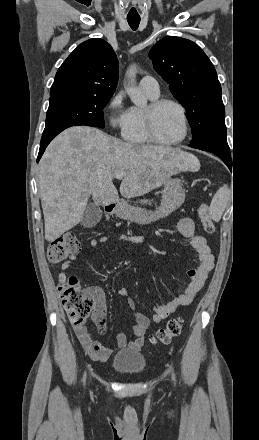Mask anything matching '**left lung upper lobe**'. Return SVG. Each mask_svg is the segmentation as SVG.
Returning a JSON list of instances; mask_svg holds the SVG:
<instances>
[{
	"instance_id": "left-lung-upper-lobe-1",
	"label": "left lung upper lobe",
	"mask_w": 259,
	"mask_h": 440,
	"mask_svg": "<svg viewBox=\"0 0 259 440\" xmlns=\"http://www.w3.org/2000/svg\"><path fill=\"white\" fill-rule=\"evenodd\" d=\"M149 56L154 69L187 111L192 144L226 137L221 85L202 49L190 40L167 36L151 48Z\"/></svg>"
}]
</instances>
